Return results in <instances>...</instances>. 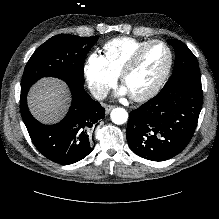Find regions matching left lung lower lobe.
I'll return each instance as SVG.
<instances>
[{
  "instance_id": "left-lung-lower-lobe-1",
  "label": "left lung lower lobe",
  "mask_w": 219,
  "mask_h": 219,
  "mask_svg": "<svg viewBox=\"0 0 219 219\" xmlns=\"http://www.w3.org/2000/svg\"><path fill=\"white\" fill-rule=\"evenodd\" d=\"M200 75L182 76L129 114L126 137L139 156L163 161L190 142L202 107Z\"/></svg>"
}]
</instances>
